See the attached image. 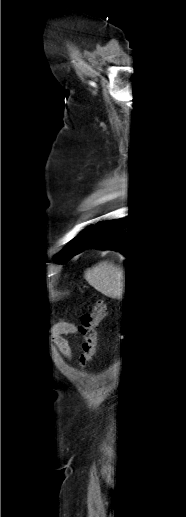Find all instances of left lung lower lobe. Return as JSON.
<instances>
[{
	"label": "left lung lower lobe",
	"instance_id": "left-lung-lower-lobe-1",
	"mask_svg": "<svg viewBox=\"0 0 186 517\" xmlns=\"http://www.w3.org/2000/svg\"><path fill=\"white\" fill-rule=\"evenodd\" d=\"M127 240V236L122 232L121 222L118 220L101 222L94 226L91 237L76 254L94 247L103 250H117L130 257L129 247L125 243Z\"/></svg>",
	"mask_w": 186,
	"mask_h": 517
}]
</instances>
